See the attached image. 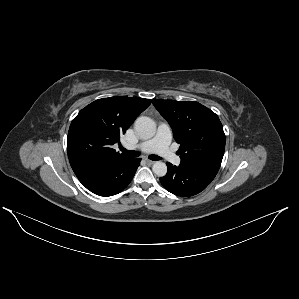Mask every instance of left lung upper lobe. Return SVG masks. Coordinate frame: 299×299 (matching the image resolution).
I'll return each instance as SVG.
<instances>
[{"instance_id": "5c2ea615", "label": "left lung upper lobe", "mask_w": 299, "mask_h": 299, "mask_svg": "<svg viewBox=\"0 0 299 299\" xmlns=\"http://www.w3.org/2000/svg\"><path fill=\"white\" fill-rule=\"evenodd\" d=\"M153 105L168 121L180 144L181 163L222 162L225 134L218 116L195 101L153 99Z\"/></svg>"}]
</instances>
